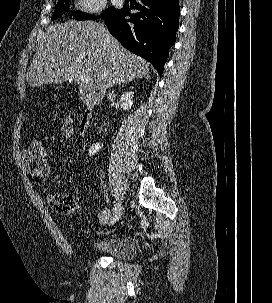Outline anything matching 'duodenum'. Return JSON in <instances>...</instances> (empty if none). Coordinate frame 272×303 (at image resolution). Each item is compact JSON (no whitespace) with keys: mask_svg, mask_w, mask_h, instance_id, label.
I'll return each mask as SVG.
<instances>
[{"mask_svg":"<svg viewBox=\"0 0 272 303\" xmlns=\"http://www.w3.org/2000/svg\"><path fill=\"white\" fill-rule=\"evenodd\" d=\"M91 116H92V110H91V108H88L80 122L79 129H78L79 135L82 137H84L88 132V127H89Z\"/></svg>","mask_w":272,"mask_h":303,"instance_id":"duodenum-1","label":"duodenum"}]
</instances>
